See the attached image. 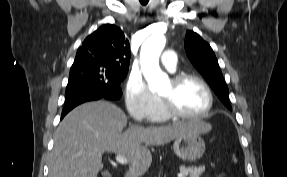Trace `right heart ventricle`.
I'll return each mask as SVG.
<instances>
[{
    "label": "right heart ventricle",
    "mask_w": 287,
    "mask_h": 177,
    "mask_svg": "<svg viewBox=\"0 0 287 177\" xmlns=\"http://www.w3.org/2000/svg\"><path fill=\"white\" fill-rule=\"evenodd\" d=\"M167 119H168V115L165 113L163 106L161 102L159 101L157 110L151 120L153 122H165Z\"/></svg>",
    "instance_id": "e07e8e85"
}]
</instances>
